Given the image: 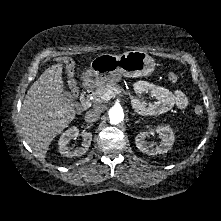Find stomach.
<instances>
[{
  "label": "stomach",
  "mask_w": 221,
  "mask_h": 221,
  "mask_svg": "<svg viewBox=\"0 0 221 221\" xmlns=\"http://www.w3.org/2000/svg\"><path fill=\"white\" fill-rule=\"evenodd\" d=\"M154 71V60L143 51L120 55L101 54L95 57L82 80L86 86H103L120 81L121 77L148 76Z\"/></svg>",
  "instance_id": "stomach-1"
}]
</instances>
